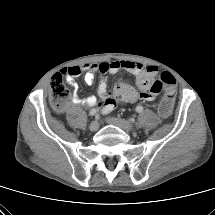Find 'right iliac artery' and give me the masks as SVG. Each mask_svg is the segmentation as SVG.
<instances>
[{
	"mask_svg": "<svg viewBox=\"0 0 215 215\" xmlns=\"http://www.w3.org/2000/svg\"><path fill=\"white\" fill-rule=\"evenodd\" d=\"M90 116H97V110L96 109H92L90 111Z\"/></svg>",
	"mask_w": 215,
	"mask_h": 215,
	"instance_id": "82829eb1",
	"label": "right iliac artery"
}]
</instances>
